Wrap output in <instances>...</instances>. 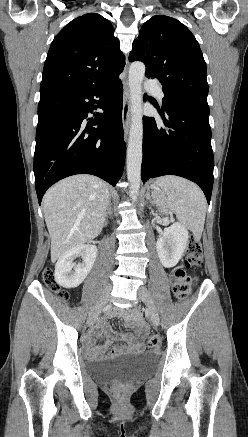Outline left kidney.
Listing matches in <instances>:
<instances>
[{
    "label": "left kidney",
    "mask_w": 248,
    "mask_h": 437,
    "mask_svg": "<svg viewBox=\"0 0 248 437\" xmlns=\"http://www.w3.org/2000/svg\"><path fill=\"white\" fill-rule=\"evenodd\" d=\"M188 238V231L178 222L164 229L163 235L157 240L156 249L165 268L174 267L179 262Z\"/></svg>",
    "instance_id": "5707ae66"
}]
</instances>
